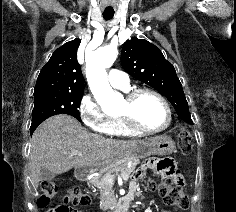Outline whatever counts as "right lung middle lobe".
<instances>
[{
    "label": "right lung middle lobe",
    "mask_w": 236,
    "mask_h": 212,
    "mask_svg": "<svg viewBox=\"0 0 236 212\" xmlns=\"http://www.w3.org/2000/svg\"><path fill=\"white\" fill-rule=\"evenodd\" d=\"M82 96L83 93H47L34 96L30 132L33 133L45 119L57 114H68L81 121L78 108Z\"/></svg>",
    "instance_id": "right-lung-middle-lobe-1"
}]
</instances>
